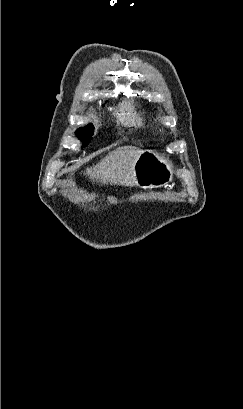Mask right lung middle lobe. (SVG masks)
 <instances>
[{
    "mask_svg": "<svg viewBox=\"0 0 243 409\" xmlns=\"http://www.w3.org/2000/svg\"><path fill=\"white\" fill-rule=\"evenodd\" d=\"M94 133V126L93 125H88L83 128H79L76 131V135L80 138L81 141H83L84 145L82 147H85L88 145V143L91 140V136Z\"/></svg>",
    "mask_w": 243,
    "mask_h": 409,
    "instance_id": "1",
    "label": "right lung middle lobe"
}]
</instances>
